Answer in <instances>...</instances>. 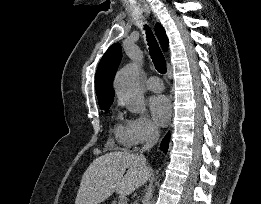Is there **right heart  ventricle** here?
Returning <instances> with one entry per match:
<instances>
[{
    "label": "right heart ventricle",
    "mask_w": 261,
    "mask_h": 204,
    "mask_svg": "<svg viewBox=\"0 0 261 204\" xmlns=\"http://www.w3.org/2000/svg\"><path fill=\"white\" fill-rule=\"evenodd\" d=\"M114 133L115 137L118 141H120L123 144H128V133H127V124L123 122V119L121 116L117 117V123L114 127Z\"/></svg>",
    "instance_id": "obj_1"
}]
</instances>
